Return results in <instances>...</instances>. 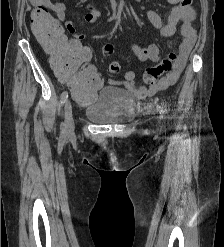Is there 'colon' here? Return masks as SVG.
I'll list each match as a JSON object with an SVG mask.
<instances>
[{
    "label": "colon",
    "instance_id": "colon-1",
    "mask_svg": "<svg viewBox=\"0 0 224 247\" xmlns=\"http://www.w3.org/2000/svg\"><path fill=\"white\" fill-rule=\"evenodd\" d=\"M31 28L37 41L53 55L52 67L56 74L72 89L73 96L78 103H91L97 93L100 83L97 71L88 64L91 59V50L80 42L67 39L59 23L49 14L47 8L36 7L31 16ZM114 47L107 44L103 47L105 58H111ZM177 55L169 53L159 64L148 67L145 72V81L154 83L156 79L168 73ZM109 71L119 75L121 66L117 61H111Z\"/></svg>",
    "mask_w": 224,
    "mask_h": 247
}]
</instances>
